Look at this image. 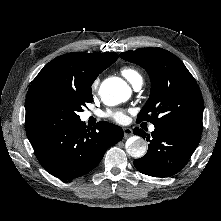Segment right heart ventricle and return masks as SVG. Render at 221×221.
Instances as JSON below:
<instances>
[{
	"label": "right heart ventricle",
	"mask_w": 221,
	"mask_h": 221,
	"mask_svg": "<svg viewBox=\"0 0 221 221\" xmlns=\"http://www.w3.org/2000/svg\"><path fill=\"white\" fill-rule=\"evenodd\" d=\"M121 74L134 86L135 84L142 82L143 78L141 73L133 67H124L121 70Z\"/></svg>",
	"instance_id": "e07e8e85"
}]
</instances>
